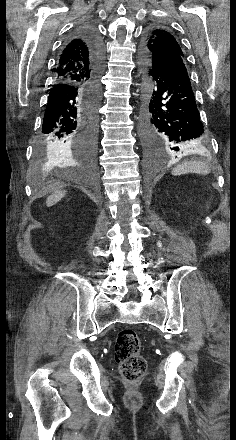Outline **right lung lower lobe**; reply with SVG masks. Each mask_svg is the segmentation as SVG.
Here are the masks:
<instances>
[{"mask_svg":"<svg viewBox=\"0 0 236 440\" xmlns=\"http://www.w3.org/2000/svg\"><path fill=\"white\" fill-rule=\"evenodd\" d=\"M74 38L86 44L92 63V76L87 84L57 83L49 91L43 119L40 149L61 151L64 158L66 146L73 143L74 157L92 166L97 150V108L100 79L104 68L105 48L98 32L90 26L81 27ZM71 39V40H72ZM91 89L94 94H91ZM66 143V144H65Z\"/></svg>","mask_w":236,"mask_h":440,"instance_id":"right-lung-lower-lobe-1","label":"right lung lower lobe"}]
</instances>
